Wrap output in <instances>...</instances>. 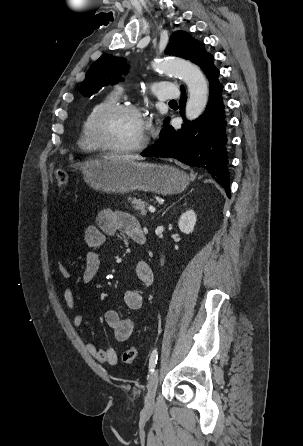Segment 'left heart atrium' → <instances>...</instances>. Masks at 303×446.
Listing matches in <instances>:
<instances>
[{
    "instance_id": "left-heart-atrium-1",
    "label": "left heart atrium",
    "mask_w": 303,
    "mask_h": 446,
    "mask_svg": "<svg viewBox=\"0 0 303 446\" xmlns=\"http://www.w3.org/2000/svg\"><path fill=\"white\" fill-rule=\"evenodd\" d=\"M144 129L146 132H149L152 130V120L151 118L143 119Z\"/></svg>"
}]
</instances>
